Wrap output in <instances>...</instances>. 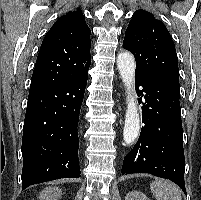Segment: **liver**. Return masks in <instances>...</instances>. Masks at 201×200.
<instances>
[{"mask_svg":"<svg viewBox=\"0 0 201 200\" xmlns=\"http://www.w3.org/2000/svg\"><path fill=\"white\" fill-rule=\"evenodd\" d=\"M62 194L61 189L58 187H49L44 189L39 196L40 200H58Z\"/></svg>","mask_w":201,"mask_h":200,"instance_id":"1","label":"liver"}]
</instances>
